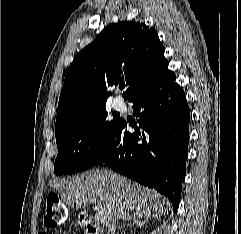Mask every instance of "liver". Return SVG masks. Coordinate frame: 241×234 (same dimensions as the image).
<instances>
[{
    "mask_svg": "<svg viewBox=\"0 0 241 234\" xmlns=\"http://www.w3.org/2000/svg\"><path fill=\"white\" fill-rule=\"evenodd\" d=\"M48 186L60 191L63 201L72 207L99 206L107 227L115 219H158L170 208L169 201L159 193L111 170L92 169L72 179L50 181Z\"/></svg>",
    "mask_w": 241,
    "mask_h": 234,
    "instance_id": "liver-1",
    "label": "liver"
}]
</instances>
